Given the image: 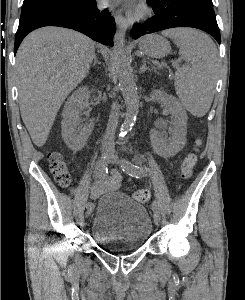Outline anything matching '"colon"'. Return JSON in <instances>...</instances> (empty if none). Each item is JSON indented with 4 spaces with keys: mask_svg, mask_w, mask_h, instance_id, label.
<instances>
[{
    "mask_svg": "<svg viewBox=\"0 0 245 300\" xmlns=\"http://www.w3.org/2000/svg\"><path fill=\"white\" fill-rule=\"evenodd\" d=\"M200 145V141L196 142V147ZM197 156L194 152L189 153L183 160L181 166V175L184 179L190 178L193 168L196 164ZM50 169L57 184L61 187H67L70 184V175L67 166L60 153L53 152L49 155ZM133 198L140 202L146 203L150 199V193L147 189H139L134 192Z\"/></svg>",
    "mask_w": 245,
    "mask_h": 300,
    "instance_id": "1",
    "label": "colon"
}]
</instances>
